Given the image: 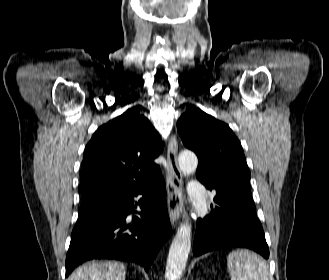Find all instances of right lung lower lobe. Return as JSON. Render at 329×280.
Listing matches in <instances>:
<instances>
[{
    "mask_svg": "<svg viewBox=\"0 0 329 280\" xmlns=\"http://www.w3.org/2000/svg\"><path fill=\"white\" fill-rule=\"evenodd\" d=\"M142 196L135 202L134 197ZM162 177L145 184L101 191L82 201L66 257V277L91 259L135 262L149 271L159 249L170 237ZM140 206V218L126 219Z\"/></svg>",
    "mask_w": 329,
    "mask_h": 280,
    "instance_id": "obj_1",
    "label": "right lung lower lobe"
}]
</instances>
